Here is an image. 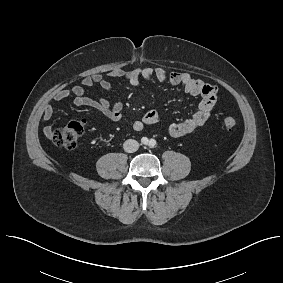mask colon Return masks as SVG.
Listing matches in <instances>:
<instances>
[{
  "label": "colon",
  "mask_w": 283,
  "mask_h": 283,
  "mask_svg": "<svg viewBox=\"0 0 283 283\" xmlns=\"http://www.w3.org/2000/svg\"><path fill=\"white\" fill-rule=\"evenodd\" d=\"M223 124L226 128H234L237 121L233 117H225ZM84 124L81 120H73L52 132V141L59 147L73 149L82 135Z\"/></svg>",
  "instance_id": "colon-1"
}]
</instances>
